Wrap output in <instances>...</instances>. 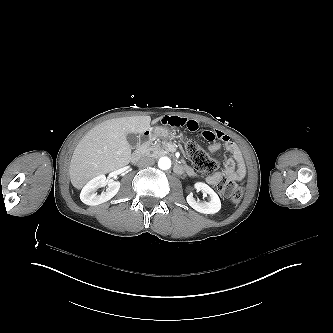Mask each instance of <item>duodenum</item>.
Returning a JSON list of instances; mask_svg holds the SVG:
<instances>
[{"instance_id": "duodenum-1", "label": "duodenum", "mask_w": 333, "mask_h": 333, "mask_svg": "<svg viewBox=\"0 0 333 333\" xmlns=\"http://www.w3.org/2000/svg\"><path fill=\"white\" fill-rule=\"evenodd\" d=\"M151 135H152V132L150 130H146L144 131L140 138H139V145H138V148L137 150H135L131 156V160L132 162H137L140 157L142 156L143 152H144V149L147 145V143L149 142L150 138H151ZM175 171L177 173H188L190 175L193 174V171L191 168L181 164V163H177L175 164Z\"/></svg>"}]
</instances>
